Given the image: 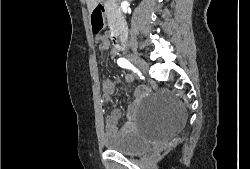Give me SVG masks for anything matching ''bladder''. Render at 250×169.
Returning <instances> with one entry per match:
<instances>
[{
    "instance_id": "obj_1",
    "label": "bladder",
    "mask_w": 250,
    "mask_h": 169,
    "mask_svg": "<svg viewBox=\"0 0 250 169\" xmlns=\"http://www.w3.org/2000/svg\"><path fill=\"white\" fill-rule=\"evenodd\" d=\"M102 140L106 150L117 151L123 155H133L153 147V145H148L146 134L134 132L104 134Z\"/></svg>"
}]
</instances>
